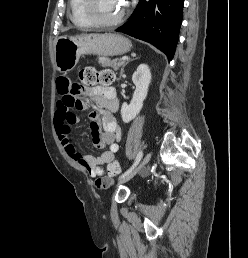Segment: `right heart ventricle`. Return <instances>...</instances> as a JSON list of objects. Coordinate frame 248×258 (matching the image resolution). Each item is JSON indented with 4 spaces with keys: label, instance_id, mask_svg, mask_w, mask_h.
I'll use <instances>...</instances> for the list:
<instances>
[{
    "label": "right heart ventricle",
    "instance_id": "obj_1",
    "mask_svg": "<svg viewBox=\"0 0 248 258\" xmlns=\"http://www.w3.org/2000/svg\"><path fill=\"white\" fill-rule=\"evenodd\" d=\"M70 13L72 22L80 27H90L92 24L83 12V0H70Z\"/></svg>",
    "mask_w": 248,
    "mask_h": 258
}]
</instances>
